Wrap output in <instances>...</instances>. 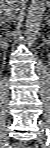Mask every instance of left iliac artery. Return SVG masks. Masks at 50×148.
I'll list each match as a JSON object with an SVG mask.
<instances>
[{"mask_svg": "<svg viewBox=\"0 0 50 148\" xmlns=\"http://www.w3.org/2000/svg\"><path fill=\"white\" fill-rule=\"evenodd\" d=\"M46 132H50V130L48 128H46Z\"/></svg>", "mask_w": 50, "mask_h": 148, "instance_id": "left-iliac-artery-1", "label": "left iliac artery"}]
</instances>
